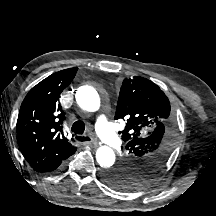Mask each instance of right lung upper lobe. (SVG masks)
<instances>
[{"instance_id": "obj_1", "label": "right lung upper lobe", "mask_w": 216, "mask_h": 216, "mask_svg": "<svg viewBox=\"0 0 216 216\" xmlns=\"http://www.w3.org/2000/svg\"><path fill=\"white\" fill-rule=\"evenodd\" d=\"M78 68L56 72L33 87L22 102L17 120V139L24 157L37 172L58 167L77 150L65 138V119L58 103Z\"/></svg>"}]
</instances>
